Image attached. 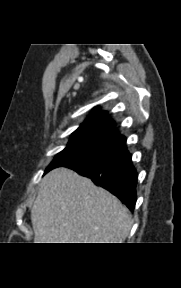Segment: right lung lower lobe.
Here are the masks:
<instances>
[{"label":"right lung lower lobe","instance_id":"obj_1","mask_svg":"<svg viewBox=\"0 0 181 288\" xmlns=\"http://www.w3.org/2000/svg\"><path fill=\"white\" fill-rule=\"evenodd\" d=\"M65 167L89 177L96 185L117 196L131 211L134 210L137 200V175L129 152L113 158L81 161Z\"/></svg>","mask_w":181,"mask_h":288}]
</instances>
